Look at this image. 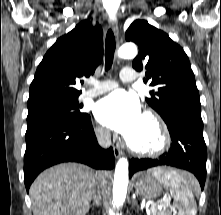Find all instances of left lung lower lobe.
I'll list each match as a JSON object with an SVG mask.
<instances>
[{
    "label": "left lung lower lobe",
    "mask_w": 221,
    "mask_h": 215,
    "mask_svg": "<svg viewBox=\"0 0 221 215\" xmlns=\"http://www.w3.org/2000/svg\"><path fill=\"white\" fill-rule=\"evenodd\" d=\"M172 144L169 152L157 159H132L129 177L136 171L155 166H173L192 172L203 190L206 179V144L203 138L201 112L185 107H173L164 119Z\"/></svg>",
    "instance_id": "left-lung-lower-lobe-1"
}]
</instances>
